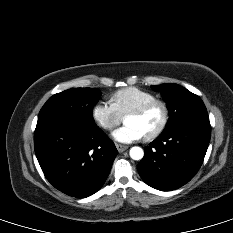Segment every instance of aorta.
<instances>
[{
  "label": "aorta",
  "instance_id": "1",
  "mask_svg": "<svg viewBox=\"0 0 233 233\" xmlns=\"http://www.w3.org/2000/svg\"><path fill=\"white\" fill-rule=\"evenodd\" d=\"M129 154L133 160H141L144 156V151L141 147L134 146L130 149Z\"/></svg>",
  "mask_w": 233,
  "mask_h": 233
}]
</instances>
